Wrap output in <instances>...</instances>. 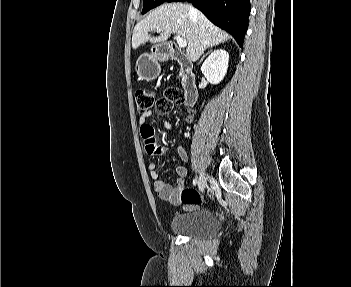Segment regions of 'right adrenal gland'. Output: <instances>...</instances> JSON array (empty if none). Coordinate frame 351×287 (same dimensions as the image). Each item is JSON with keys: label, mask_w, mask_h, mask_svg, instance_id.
<instances>
[{"label": "right adrenal gland", "mask_w": 351, "mask_h": 287, "mask_svg": "<svg viewBox=\"0 0 351 287\" xmlns=\"http://www.w3.org/2000/svg\"><path fill=\"white\" fill-rule=\"evenodd\" d=\"M208 53H209V52H208ZM208 53H207V54H208ZM207 54L203 55V57L201 58V60H200L199 63H201V62L203 61L204 57H205Z\"/></svg>", "instance_id": "obj_1"}]
</instances>
